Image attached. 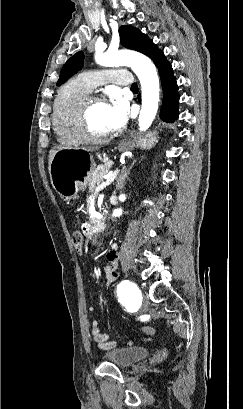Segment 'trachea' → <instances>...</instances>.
Returning <instances> with one entry per match:
<instances>
[{
	"label": "trachea",
	"mask_w": 243,
	"mask_h": 409,
	"mask_svg": "<svg viewBox=\"0 0 243 409\" xmlns=\"http://www.w3.org/2000/svg\"><path fill=\"white\" fill-rule=\"evenodd\" d=\"M137 88H138L137 84L133 83L132 86H131V89H137Z\"/></svg>",
	"instance_id": "obj_1"
}]
</instances>
